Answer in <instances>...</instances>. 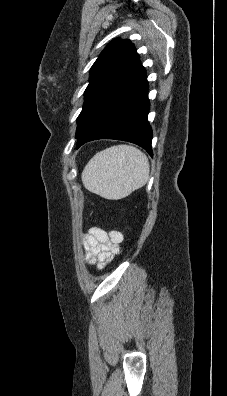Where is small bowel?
Instances as JSON below:
<instances>
[{
	"mask_svg": "<svg viewBox=\"0 0 227 396\" xmlns=\"http://www.w3.org/2000/svg\"><path fill=\"white\" fill-rule=\"evenodd\" d=\"M122 240L123 236L119 231L106 232L99 227L90 228L82 241L86 262L102 269L120 252Z\"/></svg>",
	"mask_w": 227,
	"mask_h": 396,
	"instance_id": "obj_1",
	"label": "small bowel"
}]
</instances>
